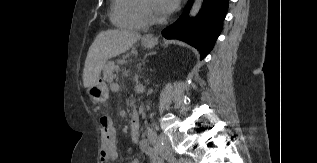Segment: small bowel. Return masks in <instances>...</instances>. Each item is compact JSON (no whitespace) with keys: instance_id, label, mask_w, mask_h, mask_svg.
Listing matches in <instances>:
<instances>
[{"instance_id":"obj_1","label":"small bowel","mask_w":317,"mask_h":163,"mask_svg":"<svg viewBox=\"0 0 317 163\" xmlns=\"http://www.w3.org/2000/svg\"><path fill=\"white\" fill-rule=\"evenodd\" d=\"M100 123L101 149L99 151V159L101 163L115 162L118 158L115 127L107 117H102ZM140 148L148 156L149 163H164L158 153L151 148L148 141H141ZM131 163H141V161L139 158H135Z\"/></svg>"}]
</instances>
